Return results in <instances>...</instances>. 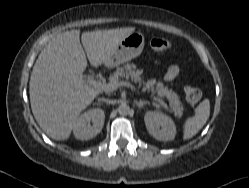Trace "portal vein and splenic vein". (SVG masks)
Wrapping results in <instances>:
<instances>
[{
	"label": "portal vein and splenic vein",
	"mask_w": 249,
	"mask_h": 188,
	"mask_svg": "<svg viewBox=\"0 0 249 188\" xmlns=\"http://www.w3.org/2000/svg\"><path fill=\"white\" fill-rule=\"evenodd\" d=\"M87 82L91 85H93L95 88L103 90L105 92H109V91H113L121 86H126L131 88L134 91H137L139 93V91L135 88V86L133 84H131L130 82L127 81H121L119 83H102L93 79H88Z\"/></svg>",
	"instance_id": "obj_1"
}]
</instances>
